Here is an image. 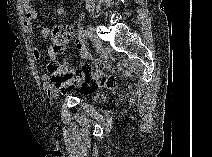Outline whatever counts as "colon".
<instances>
[{
    "instance_id": "colon-1",
    "label": "colon",
    "mask_w": 212,
    "mask_h": 157,
    "mask_svg": "<svg viewBox=\"0 0 212 157\" xmlns=\"http://www.w3.org/2000/svg\"><path fill=\"white\" fill-rule=\"evenodd\" d=\"M74 36L71 25L61 24L55 26L51 31V38L55 43V52H60ZM51 83L54 87L61 89L64 93L80 91L83 94L94 91L99 85L113 88L115 80L96 72L91 74V68L84 66L80 71H74L65 64L54 62L49 66Z\"/></svg>"
}]
</instances>
